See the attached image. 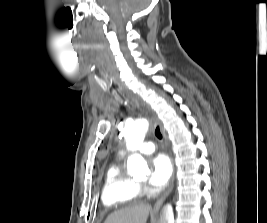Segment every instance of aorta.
<instances>
[{"label": "aorta", "instance_id": "aorta-1", "mask_svg": "<svg viewBox=\"0 0 267 223\" xmlns=\"http://www.w3.org/2000/svg\"><path fill=\"white\" fill-rule=\"evenodd\" d=\"M148 126L149 124L146 120L126 124L124 136L129 150H137L142 145ZM127 169L131 176L145 175L149 171L146 161L139 154H134L128 158ZM159 223H174V213L171 204H166L162 208Z\"/></svg>", "mask_w": 267, "mask_h": 223}]
</instances>
